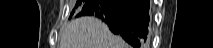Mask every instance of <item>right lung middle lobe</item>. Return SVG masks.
Returning a JSON list of instances; mask_svg holds the SVG:
<instances>
[{
  "label": "right lung middle lobe",
  "instance_id": "right-lung-middle-lobe-1",
  "mask_svg": "<svg viewBox=\"0 0 213 48\" xmlns=\"http://www.w3.org/2000/svg\"><path fill=\"white\" fill-rule=\"evenodd\" d=\"M87 2V0H77L75 8L72 10L71 12V16L75 13L77 14V16H79V11L81 10V8L83 7V5Z\"/></svg>",
  "mask_w": 213,
  "mask_h": 48
}]
</instances>
